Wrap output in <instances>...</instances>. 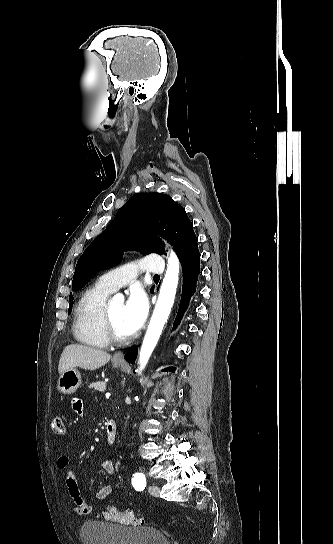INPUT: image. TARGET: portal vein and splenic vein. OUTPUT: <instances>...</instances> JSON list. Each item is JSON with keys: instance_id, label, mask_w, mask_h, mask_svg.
<instances>
[{"instance_id": "18ae733b", "label": "portal vein and splenic vein", "mask_w": 333, "mask_h": 544, "mask_svg": "<svg viewBox=\"0 0 333 544\" xmlns=\"http://www.w3.org/2000/svg\"><path fill=\"white\" fill-rule=\"evenodd\" d=\"M110 395H111L110 393H106V394H105L106 398H109Z\"/></svg>"}]
</instances>
